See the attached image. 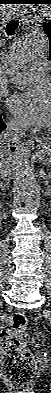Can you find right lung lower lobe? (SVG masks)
Returning a JSON list of instances; mask_svg holds the SVG:
<instances>
[{"label":"right lung lower lobe","mask_w":51,"mask_h":393,"mask_svg":"<svg viewBox=\"0 0 51 393\" xmlns=\"http://www.w3.org/2000/svg\"><path fill=\"white\" fill-rule=\"evenodd\" d=\"M6 128V125H5V123L2 121V119L0 118V132L2 131V130H4ZM11 150L13 151L14 150V147H11Z\"/></svg>","instance_id":"obj_1"}]
</instances>
